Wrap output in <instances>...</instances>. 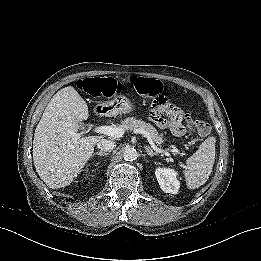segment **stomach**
I'll use <instances>...</instances> for the list:
<instances>
[{"label": "stomach", "mask_w": 261, "mask_h": 261, "mask_svg": "<svg viewBox=\"0 0 261 261\" xmlns=\"http://www.w3.org/2000/svg\"><path fill=\"white\" fill-rule=\"evenodd\" d=\"M101 107L107 112L131 113L133 111L132 103L125 96H117L114 99L103 103Z\"/></svg>", "instance_id": "stomach-1"}]
</instances>
